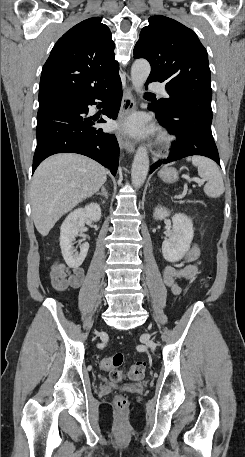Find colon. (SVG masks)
Masks as SVG:
<instances>
[{
  "mask_svg": "<svg viewBox=\"0 0 245 457\" xmlns=\"http://www.w3.org/2000/svg\"><path fill=\"white\" fill-rule=\"evenodd\" d=\"M124 362V356L121 353H116L101 361V368L109 371L110 379L114 382H119L124 378V373L119 368ZM145 373V364L143 362H136L132 364L128 371L127 376L131 380H140ZM114 406L123 410L127 406V399L123 395H116L114 397Z\"/></svg>",
  "mask_w": 245,
  "mask_h": 457,
  "instance_id": "colon-1",
  "label": "colon"
}]
</instances>
